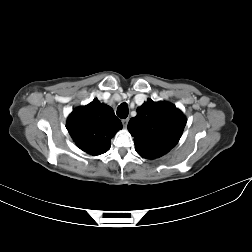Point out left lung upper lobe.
<instances>
[{"label":"left lung upper lobe","mask_w":252,"mask_h":252,"mask_svg":"<svg viewBox=\"0 0 252 252\" xmlns=\"http://www.w3.org/2000/svg\"><path fill=\"white\" fill-rule=\"evenodd\" d=\"M185 125L186 118L176 106L148 99L137 108L127 128L134 137L136 152L143 158L156 159L178 143Z\"/></svg>","instance_id":"obj_1"}]
</instances>
